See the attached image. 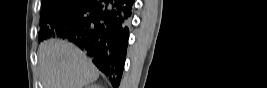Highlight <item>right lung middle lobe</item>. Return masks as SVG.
<instances>
[{"instance_id": "1", "label": "right lung middle lobe", "mask_w": 267, "mask_h": 88, "mask_svg": "<svg viewBox=\"0 0 267 88\" xmlns=\"http://www.w3.org/2000/svg\"><path fill=\"white\" fill-rule=\"evenodd\" d=\"M79 0H42L40 26L41 34L39 39H44V27L52 20L69 11Z\"/></svg>"}]
</instances>
